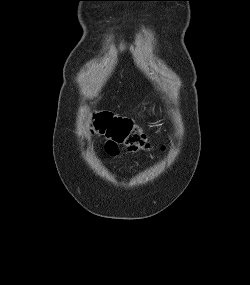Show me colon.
Here are the masks:
<instances>
[{
    "instance_id": "1",
    "label": "colon",
    "mask_w": 250,
    "mask_h": 285,
    "mask_svg": "<svg viewBox=\"0 0 250 285\" xmlns=\"http://www.w3.org/2000/svg\"><path fill=\"white\" fill-rule=\"evenodd\" d=\"M92 131L107 140L106 148L110 154L122 145L129 152L147 150L150 144L142 129L131 119L101 111L95 114Z\"/></svg>"
}]
</instances>
